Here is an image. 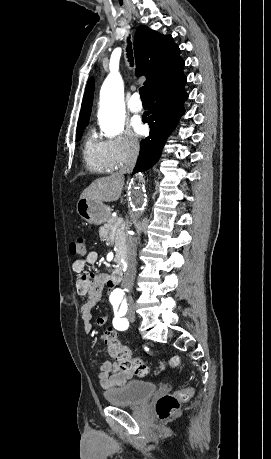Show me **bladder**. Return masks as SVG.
I'll list each match as a JSON object with an SVG mask.
<instances>
[{
	"label": "bladder",
	"instance_id": "obj_1",
	"mask_svg": "<svg viewBox=\"0 0 271 459\" xmlns=\"http://www.w3.org/2000/svg\"><path fill=\"white\" fill-rule=\"evenodd\" d=\"M156 391V384L151 381H131L117 392H105L110 405H141L148 401L153 392Z\"/></svg>",
	"mask_w": 271,
	"mask_h": 459
}]
</instances>
